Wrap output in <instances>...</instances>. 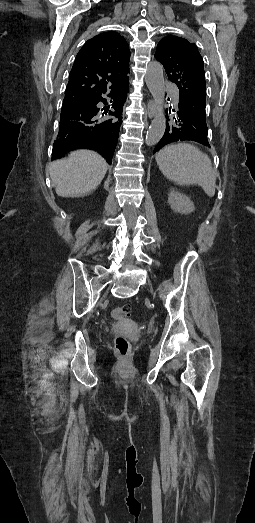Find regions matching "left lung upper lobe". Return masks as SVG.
<instances>
[{
    "label": "left lung upper lobe",
    "mask_w": 255,
    "mask_h": 523,
    "mask_svg": "<svg viewBox=\"0 0 255 523\" xmlns=\"http://www.w3.org/2000/svg\"><path fill=\"white\" fill-rule=\"evenodd\" d=\"M155 57L163 64L169 80L179 88L180 109L206 123L204 62L197 46L186 39L167 36L158 43ZM166 116L169 118L168 112Z\"/></svg>",
    "instance_id": "1"
}]
</instances>
